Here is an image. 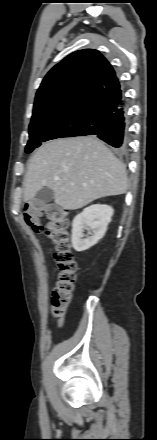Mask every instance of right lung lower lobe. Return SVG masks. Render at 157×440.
I'll list each match as a JSON object with an SVG mask.
<instances>
[{
	"label": "right lung lower lobe",
	"mask_w": 157,
	"mask_h": 440,
	"mask_svg": "<svg viewBox=\"0 0 157 440\" xmlns=\"http://www.w3.org/2000/svg\"><path fill=\"white\" fill-rule=\"evenodd\" d=\"M88 135L94 134L119 150L126 149L128 143V121L124 100L110 111L103 112L86 124Z\"/></svg>",
	"instance_id": "obj_1"
}]
</instances>
